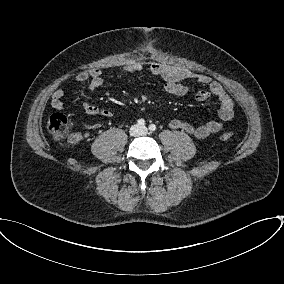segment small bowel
<instances>
[{"label": "small bowel", "mask_w": 284, "mask_h": 284, "mask_svg": "<svg viewBox=\"0 0 284 284\" xmlns=\"http://www.w3.org/2000/svg\"><path fill=\"white\" fill-rule=\"evenodd\" d=\"M124 71L129 73L141 72L144 64L140 61H131L123 66ZM148 70L155 76L161 77L165 81V91L171 95L183 96L189 91L186 80H194L197 83L207 86L206 89L196 93L195 99L199 102L215 97L219 102L218 120H210L200 125L174 119L170 122V127L175 130L186 132L197 139H204L211 134L218 133L222 130L225 122L230 121L234 115V102L224 87L213 81L212 78L205 74L193 73L190 70L166 65L158 62H152L148 66ZM77 82H89V90L95 91L103 86L104 80L102 70L100 68H92L88 71L80 72L76 75ZM65 95L63 88L56 89L52 94L51 106L55 110H63L64 105L62 99ZM83 110L90 116L109 117L111 113L105 109H100L89 102L83 104Z\"/></svg>", "instance_id": "c3829d8e"}]
</instances>
